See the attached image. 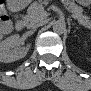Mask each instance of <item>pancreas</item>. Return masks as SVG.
Masks as SVG:
<instances>
[{"mask_svg":"<svg viewBox=\"0 0 91 91\" xmlns=\"http://www.w3.org/2000/svg\"><path fill=\"white\" fill-rule=\"evenodd\" d=\"M66 8L72 13L73 18L78 19L79 23L85 27H89L91 22L88 17L82 14V8L74 2H65ZM44 8L41 3L34 2L27 10V15L24 17L25 23L37 22L44 18Z\"/></svg>","mask_w":91,"mask_h":91,"instance_id":"1","label":"pancreas"}]
</instances>
